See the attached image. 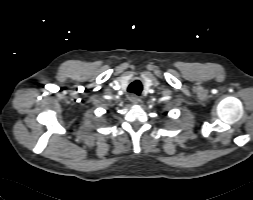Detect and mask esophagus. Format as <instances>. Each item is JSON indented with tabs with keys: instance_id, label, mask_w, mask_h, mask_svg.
Instances as JSON below:
<instances>
[{
	"instance_id": "obj_1",
	"label": "esophagus",
	"mask_w": 253,
	"mask_h": 200,
	"mask_svg": "<svg viewBox=\"0 0 253 200\" xmlns=\"http://www.w3.org/2000/svg\"><path fill=\"white\" fill-rule=\"evenodd\" d=\"M130 101L133 103V104H138L139 101H140V98L139 96L135 95V94H132L130 96Z\"/></svg>"
}]
</instances>
